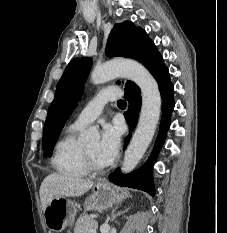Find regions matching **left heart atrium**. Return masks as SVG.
<instances>
[{
  "instance_id": "39dd6f15",
  "label": "left heart atrium",
  "mask_w": 227,
  "mask_h": 233,
  "mask_svg": "<svg viewBox=\"0 0 227 233\" xmlns=\"http://www.w3.org/2000/svg\"><path fill=\"white\" fill-rule=\"evenodd\" d=\"M120 145V129L117 125L107 123L103 126L98 157L104 164H109L116 157Z\"/></svg>"
}]
</instances>
